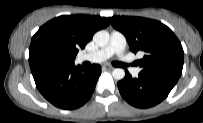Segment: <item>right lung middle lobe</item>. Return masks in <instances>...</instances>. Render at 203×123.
Instances as JSON below:
<instances>
[{
    "label": "right lung middle lobe",
    "mask_w": 203,
    "mask_h": 123,
    "mask_svg": "<svg viewBox=\"0 0 203 123\" xmlns=\"http://www.w3.org/2000/svg\"><path fill=\"white\" fill-rule=\"evenodd\" d=\"M75 55L68 46L56 36L43 34L33 36L29 48L31 69L38 66L69 65L74 63Z\"/></svg>",
    "instance_id": "obj_1"
}]
</instances>
